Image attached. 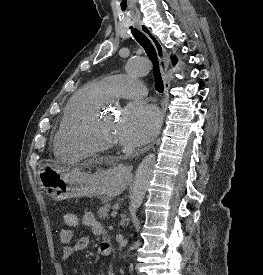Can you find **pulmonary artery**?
<instances>
[{
	"mask_svg": "<svg viewBox=\"0 0 263 275\" xmlns=\"http://www.w3.org/2000/svg\"><path fill=\"white\" fill-rule=\"evenodd\" d=\"M99 83L109 100L114 98H142L147 94V89L141 81L124 74L107 76Z\"/></svg>",
	"mask_w": 263,
	"mask_h": 275,
	"instance_id": "1",
	"label": "pulmonary artery"
}]
</instances>
